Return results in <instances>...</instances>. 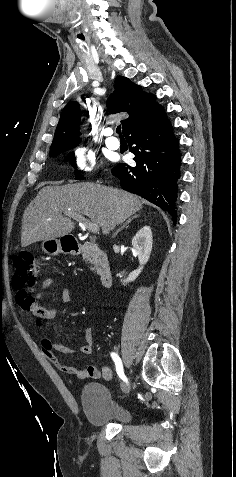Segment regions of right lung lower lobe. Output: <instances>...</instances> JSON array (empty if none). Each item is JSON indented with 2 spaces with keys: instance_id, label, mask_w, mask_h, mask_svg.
Returning <instances> with one entry per match:
<instances>
[{
  "instance_id": "98d812e1",
  "label": "right lung lower lobe",
  "mask_w": 236,
  "mask_h": 477,
  "mask_svg": "<svg viewBox=\"0 0 236 477\" xmlns=\"http://www.w3.org/2000/svg\"><path fill=\"white\" fill-rule=\"evenodd\" d=\"M126 140L136 166L120 163L112 174L121 187L166 210L176 220L175 200L180 177L178 141L166 116L146 128L132 131Z\"/></svg>"
}]
</instances>
